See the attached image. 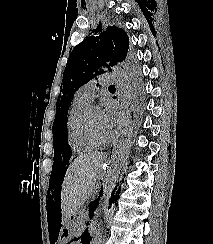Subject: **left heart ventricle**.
<instances>
[{
  "mask_svg": "<svg viewBox=\"0 0 213 244\" xmlns=\"http://www.w3.org/2000/svg\"><path fill=\"white\" fill-rule=\"evenodd\" d=\"M89 117L95 132L100 137H107L110 135V132L105 128L102 123L101 110L99 108L91 107L89 111Z\"/></svg>",
  "mask_w": 213,
  "mask_h": 244,
  "instance_id": "obj_1",
  "label": "left heart ventricle"
}]
</instances>
